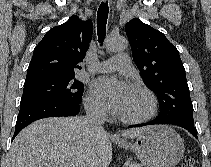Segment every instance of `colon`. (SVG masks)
<instances>
[{"label": "colon", "mask_w": 211, "mask_h": 167, "mask_svg": "<svg viewBox=\"0 0 211 167\" xmlns=\"http://www.w3.org/2000/svg\"><path fill=\"white\" fill-rule=\"evenodd\" d=\"M181 167H195L194 159L192 157L185 158Z\"/></svg>", "instance_id": "obj_1"}]
</instances>
